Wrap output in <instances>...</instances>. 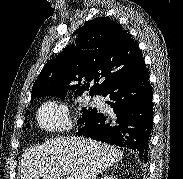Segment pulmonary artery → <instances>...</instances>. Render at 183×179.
Segmentation results:
<instances>
[{
    "instance_id": "e3ab8cb5",
    "label": "pulmonary artery",
    "mask_w": 183,
    "mask_h": 179,
    "mask_svg": "<svg viewBox=\"0 0 183 179\" xmlns=\"http://www.w3.org/2000/svg\"><path fill=\"white\" fill-rule=\"evenodd\" d=\"M92 100L95 101V102H101V99L98 96L92 97Z\"/></svg>"
}]
</instances>
